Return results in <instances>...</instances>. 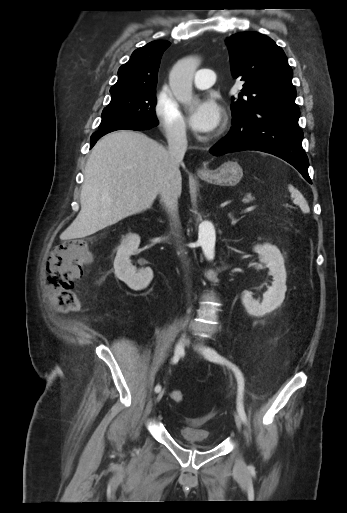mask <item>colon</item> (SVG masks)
I'll use <instances>...</instances> for the list:
<instances>
[{"mask_svg": "<svg viewBox=\"0 0 347 513\" xmlns=\"http://www.w3.org/2000/svg\"><path fill=\"white\" fill-rule=\"evenodd\" d=\"M92 258V253L83 239L66 241L54 250L48 262V273L52 294L58 307L65 310L78 307L79 301L74 292V285ZM170 397L177 404L184 401V395L178 389L172 390Z\"/></svg>", "mask_w": 347, "mask_h": 513, "instance_id": "5ec220e1", "label": "colon"}]
</instances>
